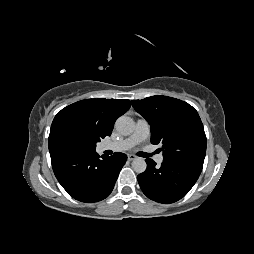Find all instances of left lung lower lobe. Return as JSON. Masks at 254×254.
Wrapping results in <instances>:
<instances>
[{
	"label": "left lung lower lobe",
	"instance_id": "obj_1",
	"mask_svg": "<svg viewBox=\"0 0 254 254\" xmlns=\"http://www.w3.org/2000/svg\"><path fill=\"white\" fill-rule=\"evenodd\" d=\"M147 169L137 176L143 193L151 200L169 204L184 197L197 181L202 167L188 162L163 161L156 167L146 159Z\"/></svg>",
	"mask_w": 254,
	"mask_h": 254
}]
</instances>
